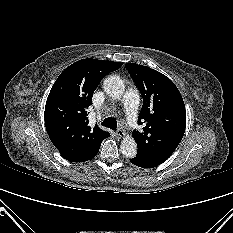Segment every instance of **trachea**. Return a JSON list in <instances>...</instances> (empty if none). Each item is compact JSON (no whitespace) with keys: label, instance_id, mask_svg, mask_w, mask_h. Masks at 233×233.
Instances as JSON below:
<instances>
[{"label":"trachea","instance_id":"1","mask_svg":"<svg viewBox=\"0 0 233 233\" xmlns=\"http://www.w3.org/2000/svg\"><path fill=\"white\" fill-rule=\"evenodd\" d=\"M101 124L105 127L111 128V129L117 128V121L115 118H112V117L104 119Z\"/></svg>","mask_w":233,"mask_h":233}]
</instances>
